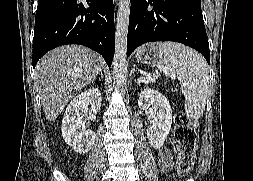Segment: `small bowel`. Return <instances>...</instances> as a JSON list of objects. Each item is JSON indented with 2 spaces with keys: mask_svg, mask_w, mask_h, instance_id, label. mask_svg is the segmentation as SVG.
I'll use <instances>...</instances> for the list:
<instances>
[{
  "mask_svg": "<svg viewBox=\"0 0 253 181\" xmlns=\"http://www.w3.org/2000/svg\"><path fill=\"white\" fill-rule=\"evenodd\" d=\"M157 164L163 172H168L173 166V154L170 149L163 148L158 152Z\"/></svg>",
  "mask_w": 253,
  "mask_h": 181,
  "instance_id": "1",
  "label": "small bowel"
}]
</instances>
